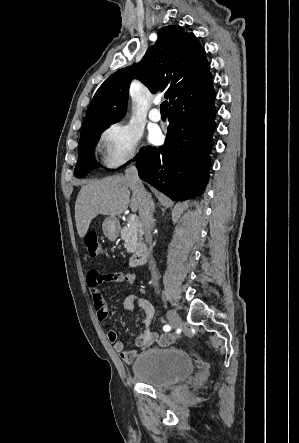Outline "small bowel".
Returning <instances> with one entry per match:
<instances>
[{
	"label": "small bowel",
	"mask_w": 299,
	"mask_h": 443,
	"mask_svg": "<svg viewBox=\"0 0 299 443\" xmlns=\"http://www.w3.org/2000/svg\"><path fill=\"white\" fill-rule=\"evenodd\" d=\"M124 282L135 284L137 282V276L135 274L124 275L121 273L100 274L96 270H90L88 272L87 284L89 293L92 298L96 316L100 321L105 320L108 316L107 303L101 293L100 286L103 284H121ZM135 305L144 311L145 316L143 320L144 330L136 338L133 350H125L124 341L119 339L115 330H109L107 332L108 341L113 345L114 350L119 353L121 359L128 364L133 362L139 349L149 347L155 343L165 347L175 342V336L173 334L164 333L159 335L151 330L154 307L147 299L137 294H130L125 297L123 306L129 314L134 311Z\"/></svg>",
	"instance_id": "1"
}]
</instances>
